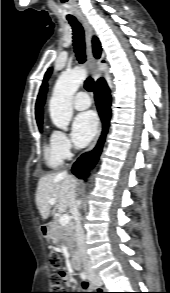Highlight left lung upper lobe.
<instances>
[{
	"label": "left lung upper lobe",
	"instance_id": "obj_1",
	"mask_svg": "<svg viewBox=\"0 0 170 293\" xmlns=\"http://www.w3.org/2000/svg\"><path fill=\"white\" fill-rule=\"evenodd\" d=\"M51 71H52V69L50 68V69L46 72V74H45V78H44V83H45L46 79L48 78V76L50 75Z\"/></svg>",
	"mask_w": 170,
	"mask_h": 293
}]
</instances>
